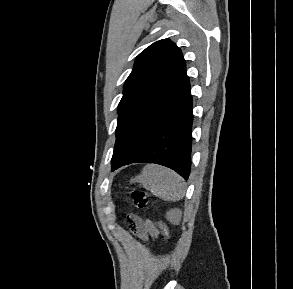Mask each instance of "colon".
Instances as JSON below:
<instances>
[{
  "mask_svg": "<svg viewBox=\"0 0 293 289\" xmlns=\"http://www.w3.org/2000/svg\"><path fill=\"white\" fill-rule=\"evenodd\" d=\"M130 196L136 207L145 209V210H149L151 208L150 197L146 192L141 190H132L130 192ZM155 225L161 230V232L163 233L166 239L170 238L169 231L167 227L165 226V224H163L162 222L156 221Z\"/></svg>",
  "mask_w": 293,
  "mask_h": 289,
  "instance_id": "colon-1",
  "label": "colon"
}]
</instances>
